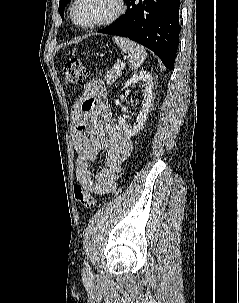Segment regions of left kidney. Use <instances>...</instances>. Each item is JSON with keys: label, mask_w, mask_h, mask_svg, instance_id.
<instances>
[{"label": "left kidney", "mask_w": 239, "mask_h": 303, "mask_svg": "<svg viewBox=\"0 0 239 303\" xmlns=\"http://www.w3.org/2000/svg\"><path fill=\"white\" fill-rule=\"evenodd\" d=\"M134 83H141L144 85V99L142 101V109L137 115V119L133 126L128 125L125 120L120 116L118 117V123L123 128L124 132L129 136L136 135L147 120L149 113L150 104L152 102V88H153V78L147 71H140L135 73L126 83L124 88L131 86ZM122 99L123 96L121 95ZM119 99L115 100V105H119Z\"/></svg>", "instance_id": "5707ae66"}]
</instances>
